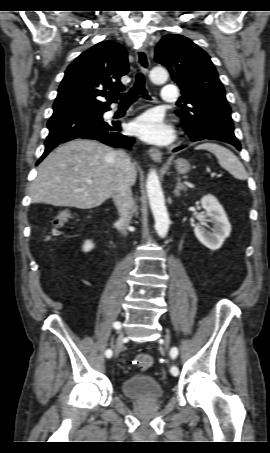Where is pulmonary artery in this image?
I'll use <instances>...</instances> for the list:
<instances>
[{"label":"pulmonary artery","instance_id":"pulmonary-artery-1","mask_svg":"<svg viewBox=\"0 0 270 453\" xmlns=\"http://www.w3.org/2000/svg\"><path fill=\"white\" fill-rule=\"evenodd\" d=\"M179 93L175 85H166L162 88V99L172 102L178 99Z\"/></svg>","mask_w":270,"mask_h":453}]
</instances>
